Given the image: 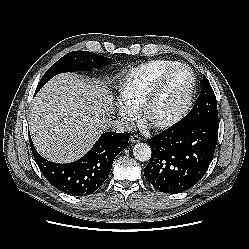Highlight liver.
I'll return each instance as SVG.
<instances>
[{
	"label": "liver",
	"instance_id": "obj_1",
	"mask_svg": "<svg viewBox=\"0 0 249 249\" xmlns=\"http://www.w3.org/2000/svg\"><path fill=\"white\" fill-rule=\"evenodd\" d=\"M114 110L105 85L78 74L51 79L34 98L29 127L37 151L67 163L82 157L106 129Z\"/></svg>",
	"mask_w": 249,
	"mask_h": 249
}]
</instances>
